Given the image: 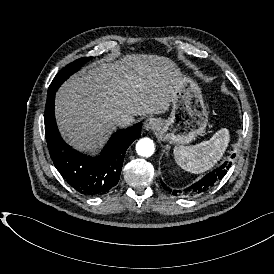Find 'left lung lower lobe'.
<instances>
[{
  "instance_id": "0a47b994",
  "label": "left lung lower lobe",
  "mask_w": 274,
  "mask_h": 274,
  "mask_svg": "<svg viewBox=\"0 0 274 274\" xmlns=\"http://www.w3.org/2000/svg\"><path fill=\"white\" fill-rule=\"evenodd\" d=\"M233 155L232 157H234ZM231 163L225 162L222 164L218 169L214 170L213 172L207 174L204 178L196 182L195 184L191 185L187 189L184 190L186 194L189 195H197L200 193H205L209 189H211L216 182H218L220 179L224 177V175L227 172V169H229ZM161 185L166 189L172 191L170 188L166 187L165 184L160 180ZM174 193H181L180 190H174Z\"/></svg>"
}]
</instances>
